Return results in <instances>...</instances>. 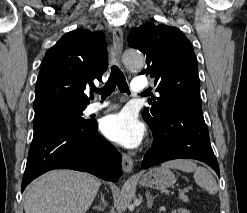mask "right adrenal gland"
Instances as JSON below:
<instances>
[{"label":"right adrenal gland","instance_id":"1","mask_svg":"<svg viewBox=\"0 0 247 213\" xmlns=\"http://www.w3.org/2000/svg\"><path fill=\"white\" fill-rule=\"evenodd\" d=\"M100 198H101V203L93 207V209H96L97 211H103L105 207L107 206V202L102 192L100 193Z\"/></svg>","mask_w":247,"mask_h":213}]
</instances>
